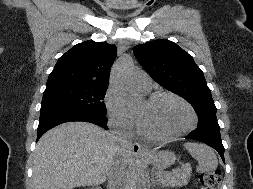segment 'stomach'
I'll return each instance as SVG.
<instances>
[{"label": "stomach", "instance_id": "stomach-1", "mask_svg": "<svg viewBox=\"0 0 253 189\" xmlns=\"http://www.w3.org/2000/svg\"><path fill=\"white\" fill-rule=\"evenodd\" d=\"M175 160V154L167 150L154 152L148 157V162L159 171L170 167L174 164Z\"/></svg>", "mask_w": 253, "mask_h": 189}]
</instances>
